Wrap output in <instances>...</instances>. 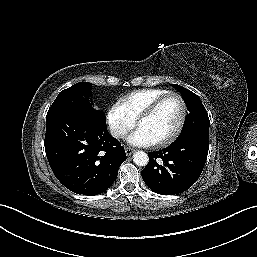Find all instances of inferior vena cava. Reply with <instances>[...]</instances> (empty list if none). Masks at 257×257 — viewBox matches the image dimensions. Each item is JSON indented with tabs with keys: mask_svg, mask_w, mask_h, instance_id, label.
Returning a JSON list of instances; mask_svg holds the SVG:
<instances>
[{
	"mask_svg": "<svg viewBox=\"0 0 257 257\" xmlns=\"http://www.w3.org/2000/svg\"><path fill=\"white\" fill-rule=\"evenodd\" d=\"M111 135L113 137H124L126 135V132L122 130H112Z\"/></svg>",
	"mask_w": 257,
	"mask_h": 257,
	"instance_id": "602c4592",
	"label": "inferior vena cava"
}]
</instances>
